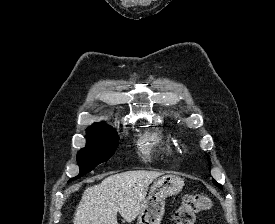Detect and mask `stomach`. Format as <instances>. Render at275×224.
Returning a JSON list of instances; mask_svg holds the SVG:
<instances>
[{
    "label": "stomach",
    "mask_w": 275,
    "mask_h": 224,
    "mask_svg": "<svg viewBox=\"0 0 275 224\" xmlns=\"http://www.w3.org/2000/svg\"><path fill=\"white\" fill-rule=\"evenodd\" d=\"M184 181L177 175H164L151 187L137 224H160L165 211V198L180 193Z\"/></svg>",
    "instance_id": "1"
}]
</instances>
